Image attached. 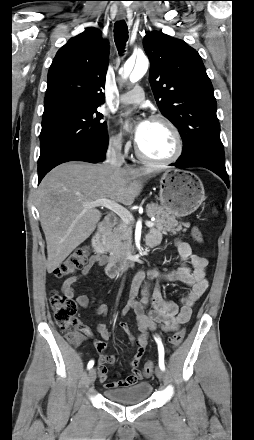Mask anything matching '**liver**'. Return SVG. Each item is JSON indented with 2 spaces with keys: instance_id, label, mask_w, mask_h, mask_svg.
Returning a JSON list of instances; mask_svg holds the SVG:
<instances>
[{
  "instance_id": "obj_1",
  "label": "liver",
  "mask_w": 254,
  "mask_h": 440,
  "mask_svg": "<svg viewBox=\"0 0 254 440\" xmlns=\"http://www.w3.org/2000/svg\"><path fill=\"white\" fill-rule=\"evenodd\" d=\"M151 168H114L108 163H64L50 171L38 188L40 223L52 273L95 230L102 213L84 204L98 199L131 205ZM145 177V178H143Z\"/></svg>"
}]
</instances>
